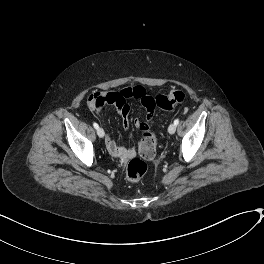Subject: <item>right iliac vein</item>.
I'll return each instance as SVG.
<instances>
[{
	"mask_svg": "<svg viewBox=\"0 0 264 264\" xmlns=\"http://www.w3.org/2000/svg\"><path fill=\"white\" fill-rule=\"evenodd\" d=\"M97 135L100 137V138H103L105 133H104V130L102 128H98L97 129Z\"/></svg>",
	"mask_w": 264,
	"mask_h": 264,
	"instance_id": "right-iliac-vein-1",
	"label": "right iliac vein"
}]
</instances>
